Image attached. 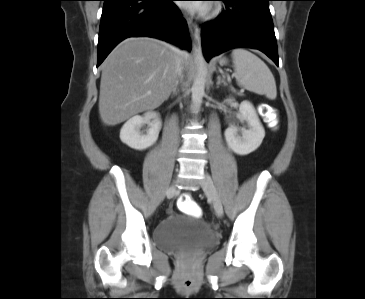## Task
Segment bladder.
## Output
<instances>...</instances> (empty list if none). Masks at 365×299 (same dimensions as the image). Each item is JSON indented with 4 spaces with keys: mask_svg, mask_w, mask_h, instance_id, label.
Segmentation results:
<instances>
[{
    "mask_svg": "<svg viewBox=\"0 0 365 299\" xmlns=\"http://www.w3.org/2000/svg\"><path fill=\"white\" fill-rule=\"evenodd\" d=\"M153 241L165 252H201L214 248L217 237L208 222L186 214H175L159 222Z\"/></svg>",
    "mask_w": 365,
    "mask_h": 299,
    "instance_id": "obj_1",
    "label": "bladder"
}]
</instances>
